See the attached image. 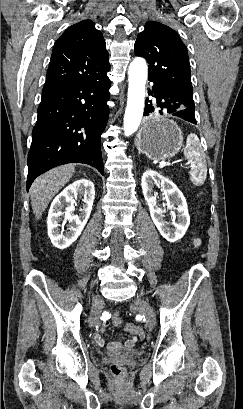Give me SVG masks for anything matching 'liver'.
I'll return each mask as SVG.
<instances>
[{
    "instance_id": "1",
    "label": "liver",
    "mask_w": 243,
    "mask_h": 409,
    "mask_svg": "<svg viewBox=\"0 0 243 409\" xmlns=\"http://www.w3.org/2000/svg\"><path fill=\"white\" fill-rule=\"evenodd\" d=\"M75 168L68 164L56 167L39 176L31 186V206L36 219L42 217L52 198L69 181Z\"/></svg>"
}]
</instances>
